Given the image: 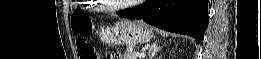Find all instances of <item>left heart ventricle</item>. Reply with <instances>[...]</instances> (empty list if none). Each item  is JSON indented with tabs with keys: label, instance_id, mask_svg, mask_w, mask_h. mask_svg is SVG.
Masks as SVG:
<instances>
[{
	"label": "left heart ventricle",
	"instance_id": "b2bd125f",
	"mask_svg": "<svg viewBox=\"0 0 261 59\" xmlns=\"http://www.w3.org/2000/svg\"><path fill=\"white\" fill-rule=\"evenodd\" d=\"M124 2H126V1H122V0H120V1H111V3H113V4H121V3H124Z\"/></svg>",
	"mask_w": 261,
	"mask_h": 59
}]
</instances>
